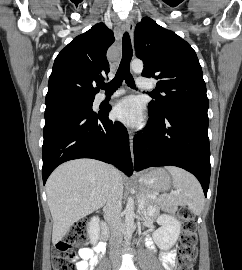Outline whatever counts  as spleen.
<instances>
[{
  "label": "spleen",
  "mask_w": 242,
  "mask_h": 270,
  "mask_svg": "<svg viewBox=\"0 0 242 270\" xmlns=\"http://www.w3.org/2000/svg\"><path fill=\"white\" fill-rule=\"evenodd\" d=\"M172 176L174 191L160 196V201L168 204L187 205L196 215L204 207V194L198 180L189 172L169 166L166 168Z\"/></svg>",
  "instance_id": "spleen-1"
}]
</instances>
